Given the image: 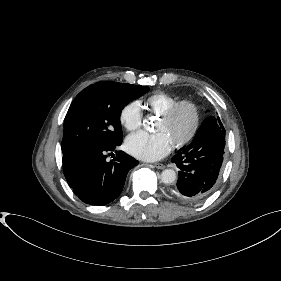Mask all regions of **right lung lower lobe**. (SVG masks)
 I'll return each mask as SVG.
<instances>
[{
  "mask_svg": "<svg viewBox=\"0 0 281 281\" xmlns=\"http://www.w3.org/2000/svg\"><path fill=\"white\" fill-rule=\"evenodd\" d=\"M121 143L83 147L63 157L65 178L84 203L103 206L122 192L129 170L139 162L123 151H116L112 161L106 160V152L113 151Z\"/></svg>",
  "mask_w": 281,
  "mask_h": 281,
  "instance_id": "obj_1",
  "label": "right lung lower lobe"
}]
</instances>
